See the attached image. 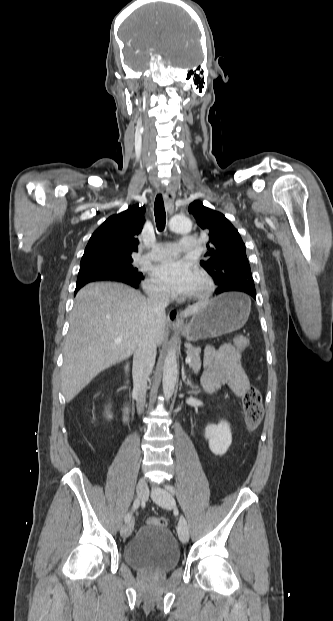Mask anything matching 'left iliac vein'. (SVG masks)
<instances>
[{"label": "left iliac vein", "instance_id": "1", "mask_svg": "<svg viewBox=\"0 0 333 621\" xmlns=\"http://www.w3.org/2000/svg\"><path fill=\"white\" fill-rule=\"evenodd\" d=\"M151 497L153 501L165 509H171L175 506L173 496L166 489H154ZM178 536L181 542L186 543L189 540L188 524L184 516H180L178 522Z\"/></svg>", "mask_w": 333, "mask_h": 621}]
</instances>
